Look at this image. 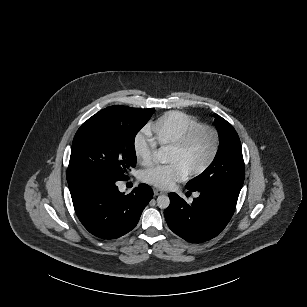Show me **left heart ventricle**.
Masks as SVG:
<instances>
[{
  "mask_svg": "<svg viewBox=\"0 0 307 307\" xmlns=\"http://www.w3.org/2000/svg\"><path fill=\"white\" fill-rule=\"evenodd\" d=\"M214 147V137L206 132L200 135L184 151L176 152L168 149L163 158V162L177 163L186 172L194 170L200 166L210 155Z\"/></svg>",
  "mask_w": 307,
  "mask_h": 307,
  "instance_id": "1",
  "label": "left heart ventricle"
}]
</instances>
